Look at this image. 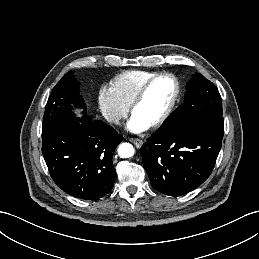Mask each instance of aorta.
<instances>
[{
  "mask_svg": "<svg viewBox=\"0 0 259 259\" xmlns=\"http://www.w3.org/2000/svg\"><path fill=\"white\" fill-rule=\"evenodd\" d=\"M134 152H135L134 147L130 143H122L119 145L118 155L121 158L132 157L134 155Z\"/></svg>",
  "mask_w": 259,
  "mask_h": 259,
  "instance_id": "762f6f07",
  "label": "aorta"
}]
</instances>
